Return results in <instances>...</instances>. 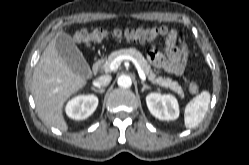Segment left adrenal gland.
Returning a JSON list of instances; mask_svg holds the SVG:
<instances>
[{
	"instance_id": "obj_1",
	"label": "left adrenal gland",
	"mask_w": 249,
	"mask_h": 165,
	"mask_svg": "<svg viewBox=\"0 0 249 165\" xmlns=\"http://www.w3.org/2000/svg\"><path fill=\"white\" fill-rule=\"evenodd\" d=\"M141 84L143 86L141 89L142 92H144L145 89H151V87L149 85L145 84V82L143 80L141 81Z\"/></svg>"
}]
</instances>
